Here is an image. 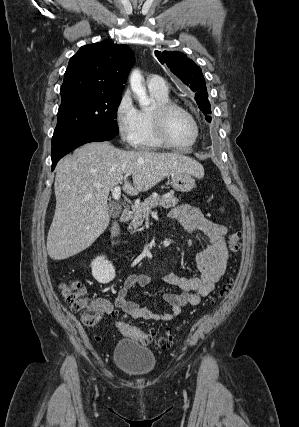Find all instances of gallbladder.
I'll use <instances>...</instances> for the list:
<instances>
[{"instance_id": "obj_1", "label": "gallbladder", "mask_w": 299, "mask_h": 427, "mask_svg": "<svg viewBox=\"0 0 299 427\" xmlns=\"http://www.w3.org/2000/svg\"><path fill=\"white\" fill-rule=\"evenodd\" d=\"M120 213H121V210L119 207H117L115 205H112L109 207V215L112 218H117L120 215Z\"/></svg>"}]
</instances>
